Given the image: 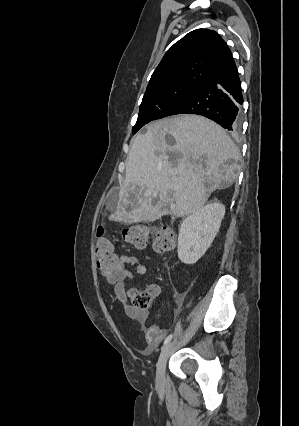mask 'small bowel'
<instances>
[{"label": "small bowel", "mask_w": 299, "mask_h": 426, "mask_svg": "<svg viewBox=\"0 0 299 426\" xmlns=\"http://www.w3.org/2000/svg\"><path fill=\"white\" fill-rule=\"evenodd\" d=\"M118 258V262L121 266V269L115 273L108 272L102 268L98 263L99 274L105 278V281L114 286V293L117 299L124 305L126 315L141 324H145L148 318L147 313H139L134 307L127 304V290L126 285L128 280L133 277V271L124 268L125 265H129L133 270L139 274L145 276L147 274L146 266L140 261V259L131 254H123ZM149 292L154 298H157L160 294V288L158 285L152 284L149 286ZM167 334V329L163 326L157 325L152 326L146 331V347L143 353H150Z\"/></svg>", "instance_id": "small-bowel-1"}]
</instances>
